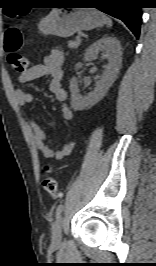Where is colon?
Instances as JSON below:
<instances>
[{"mask_svg":"<svg viewBox=\"0 0 156 266\" xmlns=\"http://www.w3.org/2000/svg\"><path fill=\"white\" fill-rule=\"evenodd\" d=\"M22 15V14H21ZM23 46L22 32L14 26H10L5 31L4 48L8 53V62L11 68L18 73H22L30 66V60L19 54L18 51ZM46 176L43 179L44 190L53 198H59L57 181L52 175V169L49 165H45Z\"/></svg>","mask_w":156,"mask_h":266,"instance_id":"obj_1","label":"colon"}]
</instances>
